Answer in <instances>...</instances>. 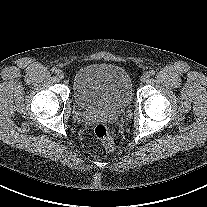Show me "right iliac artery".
Returning <instances> with one entry per match:
<instances>
[{
	"instance_id": "obj_1",
	"label": "right iliac artery",
	"mask_w": 207,
	"mask_h": 207,
	"mask_svg": "<svg viewBox=\"0 0 207 207\" xmlns=\"http://www.w3.org/2000/svg\"><path fill=\"white\" fill-rule=\"evenodd\" d=\"M51 71H52L53 73H56L58 70H57L56 68H52Z\"/></svg>"
}]
</instances>
